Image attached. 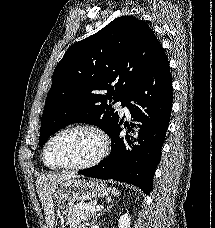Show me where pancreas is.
<instances>
[{"label": "pancreas", "instance_id": "1", "mask_svg": "<svg viewBox=\"0 0 215 228\" xmlns=\"http://www.w3.org/2000/svg\"><path fill=\"white\" fill-rule=\"evenodd\" d=\"M77 206H70L67 212L66 224L69 228H84V224L93 220L96 212H88V210H78Z\"/></svg>", "mask_w": 215, "mask_h": 228}]
</instances>
